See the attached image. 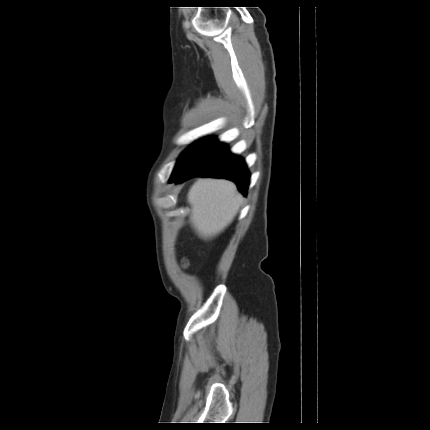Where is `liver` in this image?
I'll return each instance as SVG.
<instances>
[{"instance_id":"6515ba94","label":"liver","mask_w":430,"mask_h":430,"mask_svg":"<svg viewBox=\"0 0 430 430\" xmlns=\"http://www.w3.org/2000/svg\"><path fill=\"white\" fill-rule=\"evenodd\" d=\"M194 228L207 238L223 230L237 213L242 196L227 180L199 179L188 196Z\"/></svg>"}]
</instances>
